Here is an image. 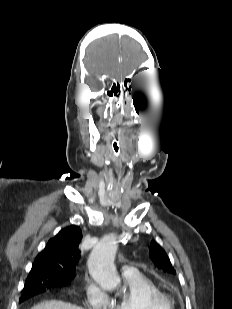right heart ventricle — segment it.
<instances>
[{"label": "right heart ventricle", "mask_w": 232, "mask_h": 309, "mask_svg": "<svg viewBox=\"0 0 232 309\" xmlns=\"http://www.w3.org/2000/svg\"><path fill=\"white\" fill-rule=\"evenodd\" d=\"M123 279L124 291L109 299L108 309H168L165 294L150 278L136 271Z\"/></svg>", "instance_id": "e07e8e85"}]
</instances>
